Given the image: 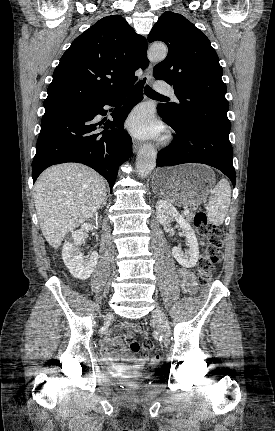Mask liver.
I'll list each match as a JSON object with an SVG mask.
<instances>
[{"label":"liver","instance_id":"obj_1","mask_svg":"<svg viewBox=\"0 0 275 431\" xmlns=\"http://www.w3.org/2000/svg\"><path fill=\"white\" fill-rule=\"evenodd\" d=\"M104 178L78 163L46 169L34 185V202L40 228L57 249L65 235L93 216L106 198Z\"/></svg>","mask_w":275,"mask_h":431}]
</instances>
